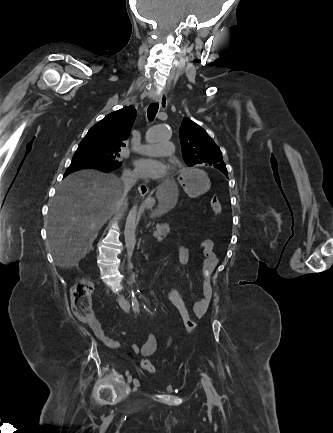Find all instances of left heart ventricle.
I'll return each instance as SVG.
<instances>
[{"label":"left heart ventricle","mask_w":333,"mask_h":433,"mask_svg":"<svg viewBox=\"0 0 333 433\" xmlns=\"http://www.w3.org/2000/svg\"><path fill=\"white\" fill-rule=\"evenodd\" d=\"M154 157H155V158H160V157H161V155H154Z\"/></svg>","instance_id":"obj_1"}]
</instances>
